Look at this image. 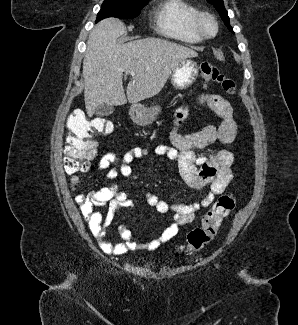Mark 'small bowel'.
I'll list each match as a JSON object with an SVG mask.
<instances>
[{
	"mask_svg": "<svg viewBox=\"0 0 298 325\" xmlns=\"http://www.w3.org/2000/svg\"><path fill=\"white\" fill-rule=\"evenodd\" d=\"M200 99L221 118L220 125H206L198 132L181 134L178 130L179 126L188 115L187 108L182 107L176 112L174 126L170 132L171 146L158 145L154 153L156 156L176 161L182 179L190 188L202 189L209 186V190L205 191L197 202L173 205L159 200L153 193H148L147 201L158 213L173 212L174 215L173 222L163 230L159 237L136 238L128 226L120 225L118 232L122 242L111 243L107 239V228L121 210L134 208V202L121 191L120 185L114 180L121 175L136 181L138 176L133 172L130 164L135 159L146 158L149 154L146 148L135 147L121 156L113 152L104 154L98 160L96 167L100 171H106L108 179L112 182L103 188L76 194L75 202L88 222L98 246L105 253L122 255L137 249H157L161 244L175 237L181 226L191 223L195 219L196 212L209 206L233 180L231 167L234 156L229 150L217 149L205 156H198L194 152L195 149L204 148L215 142L227 145L234 141L237 124L233 117V108L226 99L216 94L203 95ZM70 185L73 191L77 190L81 185V179L71 178ZM103 206H107L105 212L99 209Z\"/></svg>",
	"mask_w": 298,
	"mask_h": 325,
	"instance_id": "obj_1",
	"label": "small bowel"
}]
</instances>
